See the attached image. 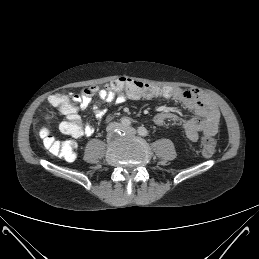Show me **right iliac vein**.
<instances>
[{
    "label": "right iliac vein",
    "mask_w": 259,
    "mask_h": 259,
    "mask_svg": "<svg viewBox=\"0 0 259 259\" xmlns=\"http://www.w3.org/2000/svg\"><path fill=\"white\" fill-rule=\"evenodd\" d=\"M119 128H121V125L119 123H112L108 126V131H113Z\"/></svg>",
    "instance_id": "right-iliac-vein-1"
}]
</instances>
